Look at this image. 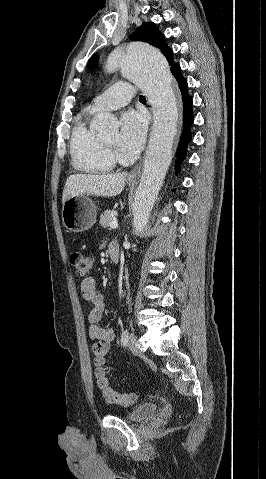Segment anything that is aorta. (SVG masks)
I'll return each mask as SVG.
<instances>
[{"label": "aorta", "instance_id": "obj_1", "mask_svg": "<svg viewBox=\"0 0 266 479\" xmlns=\"http://www.w3.org/2000/svg\"><path fill=\"white\" fill-rule=\"evenodd\" d=\"M118 68L143 91L153 106L149 148L140 183L131 204L133 232L139 236L148 223L172 160L178 107L168 63L154 47L142 42H132L116 48L108 57L106 70L112 72ZM92 127L98 132H114L118 123L113 115L99 113L95 116Z\"/></svg>", "mask_w": 266, "mask_h": 479}]
</instances>
